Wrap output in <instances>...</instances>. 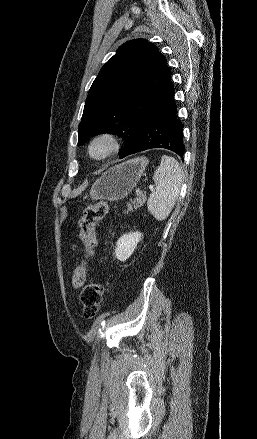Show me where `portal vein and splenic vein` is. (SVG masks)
I'll return each instance as SVG.
<instances>
[{
  "label": "portal vein and splenic vein",
  "mask_w": 257,
  "mask_h": 439,
  "mask_svg": "<svg viewBox=\"0 0 257 439\" xmlns=\"http://www.w3.org/2000/svg\"><path fill=\"white\" fill-rule=\"evenodd\" d=\"M149 189L152 191L154 188H153V186H149Z\"/></svg>",
  "instance_id": "obj_1"
}]
</instances>
